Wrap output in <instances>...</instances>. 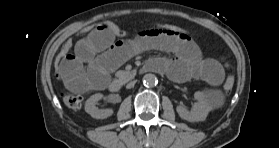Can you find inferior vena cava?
I'll list each match as a JSON object with an SVG mask.
<instances>
[{
    "label": "inferior vena cava",
    "instance_id": "obj_1",
    "mask_svg": "<svg viewBox=\"0 0 279 148\" xmlns=\"http://www.w3.org/2000/svg\"><path fill=\"white\" fill-rule=\"evenodd\" d=\"M135 83H136V81H131L130 83H128V84L126 85V88H127V89H130V88L134 87Z\"/></svg>",
    "mask_w": 279,
    "mask_h": 148
}]
</instances>
